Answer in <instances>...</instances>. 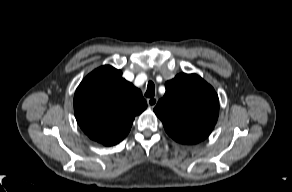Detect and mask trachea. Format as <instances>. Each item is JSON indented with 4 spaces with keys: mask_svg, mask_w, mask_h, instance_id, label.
<instances>
[{
    "mask_svg": "<svg viewBox=\"0 0 292 192\" xmlns=\"http://www.w3.org/2000/svg\"><path fill=\"white\" fill-rule=\"evenodd\" d=\"M155 95V85L153 82H148L147 91L145 93L146 97L152 98Z\"/></svg>",
    "mask_w": 292,
    "mask_h": 192,
    "instance_id": "trachea-1",
    "label": "trachea"
}]
</instances>
